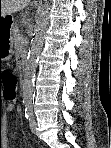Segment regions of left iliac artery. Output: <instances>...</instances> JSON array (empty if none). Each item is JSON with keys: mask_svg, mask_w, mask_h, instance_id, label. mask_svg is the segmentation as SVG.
Wrapping results in <instances>:
<instances>
[{"mask_svg": "<svg viewBox=\"0 0 111 148\" xmlns=\"http://www.w3.org/2000/svg\"><path fill=\"white\" fill-rule=\"evenodd\" d=\"M32 104L31 103H26L25 104V117L27 118V119H31V117H32Z\"/></svg>", "mask_w": 111, "mask_h": 148, "instance_id": "left-iliac-artery-1", "label": "left iliac artery"}]
</instances>
